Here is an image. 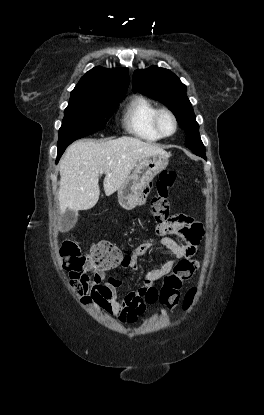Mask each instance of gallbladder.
I'll use <instances>...</instances> for the list:
<instances>
[{"label": "gallbladder", "mask_w": 264, "mask_h": 415, "mask_svg": "<svg viewBox=\"0 0 264 415\" xmlns=\"http://www.w3.org/2000/svg\"><path fill=\"white\" fill-rule=\"evenodd\" d=\"M78 220V212L67 210L62 217V231H69L72 229Z\"/></svg>", "instance_id": "gallbladder-1"}]
</instances>
